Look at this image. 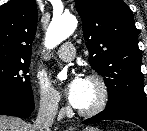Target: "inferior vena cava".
<instances>
[{
  "label": "inferior vena cava",
  "mask_w": 147,
  "mask_h": 131,
  "mask_svg": "<svg viewBox=\"0 0 147 131\" xmlns=\"http://www.w3.org/2000/svg\"><path fill=\"white\" fill-rule=\"evenodd\" d=\"M57 111L56 101L42 102L39 107L38 115L34 123L35 131H51Z\"/></svg>",
  "instance_id": "inferior-vena-cava-1"
}]
</instances>
